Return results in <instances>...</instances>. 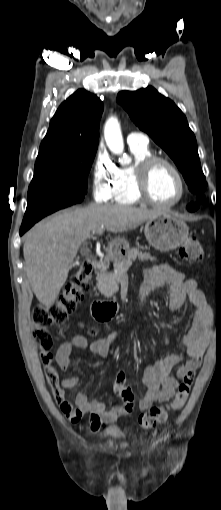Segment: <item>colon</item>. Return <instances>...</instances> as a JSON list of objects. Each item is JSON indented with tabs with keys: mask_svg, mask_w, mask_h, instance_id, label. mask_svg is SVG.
Instances as JSON below:
<instances>
[{
	"mask_svg": "<svg viewBox=\"0 0 221 510\" xmlns=\"http://www.w3.org/2000/svg\"><path fill=\"white\" fill-rule=\"evenodd\" d=\"M178 256L186 262H200L203 259V250L199 241L196 238L187 239L179 248ZM91 277V265L88 262H83L54 302L35 306L32 310V320L35 325L33 336L40 347V360L44 367L46 381L53 388L58 385L59 375L53 366V339L45 330V327L51 324L63 323L67 319L68 315L75 310L77 303L82 300L84 293L88 290ZM192 384L193 373L187 372L182 378L174 399L169 404L152 406L146 413L139 416L140 427L144 430L152 429L164 423L168 418L169 412L181 409L188 399ZM123 394L129 395V392L126 391ZM54 398L59 404L61 401L60 396L55 394ZM99 428L91 429L96 431Z\"/></svg>",
	"mask_w": 221,
	"mask_h": 510,
	"instance_id": "1",
	"label": "colon"
}]
</instances>
